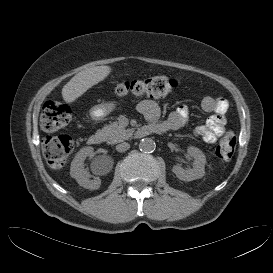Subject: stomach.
I'll return each instance as SVG.
<instances>
[{"label": "stomach", "mask_w": 273, "mask_h": 273, "mask_svg": "<svg viewBox=\"0 0 273 273\" xmlns=\"http://www.w3.org/2000/svg\"><path fill=\"white\" fill-rule=\"evenodd\" d=\"M114 109V102L101 103L92 107L90 116L94 120H100L108 116Z\"/></svg>", "instance_id": "obj_1"}]
</instances>
